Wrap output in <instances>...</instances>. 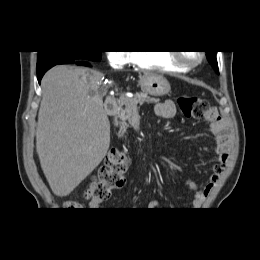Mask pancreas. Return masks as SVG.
I'll return each mask as SVG.
<instances>
[{
    "label": "pancreas",
    "mask_w": 260,
    "mask_h": 260,
    "mask_svg": "<svg viewBox=\"0 0 260 260\" xmlns=\"http://www.w3.org/2000/svg\"><path fill=\"white\" fill-rule=\"evenodd\" d=\"M157 103L159 99L149 97L145 93H136L134 97H120L118 100L119 111L117 118L119 121H116V125L120 126L119 134H124L129 126L128 122L131 121L134 111L138 109L137 105H142L143 103ZM128 121V122H127Z\"/></svg>",
    "instance_id": "obj_1"
}]
</instances>
